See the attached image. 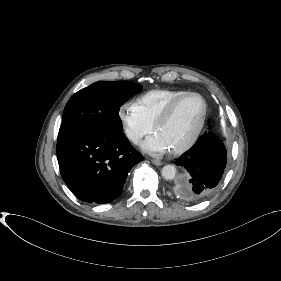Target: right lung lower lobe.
Listing matches in <instances>:
<instances>
[{"label":"right lung lower lobe","instance_id":"obj_1","mask_svg":"<svg viewBox=\"0 0 281 281\" xmlns=\"http://www.w3.org/2000/svg\"><path fill=\"white\" fill-rule=\"evenodd\" d=\"M61 176L80 200L105 204L123 190L131 168L142 160L124 133H84L57 143Z\"/></svg>","mask_w":281,"mask_h":281}]
</instances>
